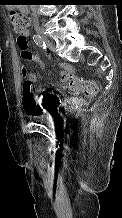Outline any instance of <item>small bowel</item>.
I'll return each instance as SVG.
<instances>
[{
    "label": "small bowel",
    "instance_id": "obj_1",
    "mask_svg": "<svg viewBox=\"0 0 122 218\" xmlns=\"http://www.w3.org/2000/svg\"><path fill=\"white\" fill-rule=\"evenodd\" d=\"M30 35H31L30 31L26 30L23 33H21V35L18 37V38H23L25 40L26 48L28 47V42H29ZM30 59L37 62L42 69L45 68L44 63L39 59V57L37 55L31 54ZM60 67H61V78H62V80L64 78L73 76V69H72V67L70 65L62 63L60 65ZM30 79L32 80L33 83H36L37 79H36V76L34 74H32V73L30 74ZM53 86L55 87L56 84L53 83ZM95 86H96V84H95ZM56 101H57V99H56V97L54 96L53 93H51L49 91H46V90H42V96L40 97L39 101L38 102L35 101L36 102V107H35V113L34 114L46 113L48 111L49 105L51 103H56ZM70 102L74 104V103L77 102V100H71ZM23 106H24V109L26 110L24 98H23Z\"/></svg>",
    "mask_w": 122,
    "mask_h": 218
}]
</instances>
